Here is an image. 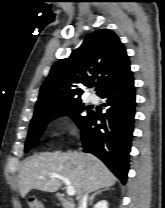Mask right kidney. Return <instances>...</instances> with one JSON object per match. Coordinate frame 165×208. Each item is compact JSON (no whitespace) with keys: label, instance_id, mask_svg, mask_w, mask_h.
I'll use <instances>...</instances> for the list:
<instances>
[{"label":"right kidney","instance_id":"right-kidney-1","mask_svg":"<svg viewBox=\"0 0 165 208\" xmlns=\"http://www.w3.org/2000/svg\"><path fill=\"white\" fill-rule=\"evenodd\" d=\"M93 208H108V202L105 200L99 201Z\"/></svg>","mask_w":165,"mask_h":208}]
</instances>
